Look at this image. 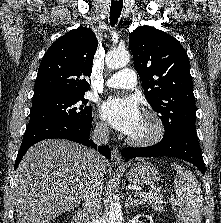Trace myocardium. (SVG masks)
I'll return each mask as SVG.
<instances>
[{
	"instance_id": "f54148a6",
	"label": "myocardium",
	"mask_w": 221,
	"mask_h": 223,
	"mask_svg": "<svg viewBox=\"0 0 221 223\" xmlns=\"http://www.w3.org/2000/svg\"><path fill=\"white\" fill-rule=\"evenodd\" d=\"M143 117L150 120L153 124V130L150 134L143 137H128L127 142L133 146L145 147L158 143L165 134V123L161 116L152 110H146Z\"/></svg>"
}]
</instances>
